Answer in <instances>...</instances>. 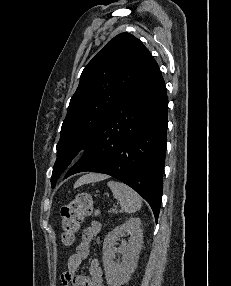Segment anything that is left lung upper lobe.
I'll return each mask as SVG.
<instances>
[{"label": "left lung upper lobe", "instance_id": "obj_1", "mask_svg": "<svg viewBox=\"0 0 231 286\" xmlns=\"http://www.w3.org/2000/svg\"><path fill=\"white\" fill-rule=\"evenodd\" d=\"M156 66L148 49L129 33L115 36L88 63L62 124L52 187L111 110Z\"/></svg>", "mask_w": 231, "mask_h": 286}]
</instances>
